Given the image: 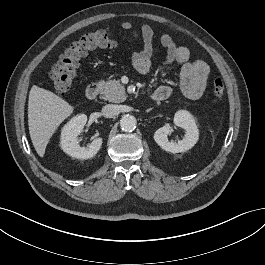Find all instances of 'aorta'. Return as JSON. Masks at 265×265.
Wrapping results in <instances>:
<instances>
[{"label": "aorta", "mask_w": 265, "mask_h": 265, "mask_svg": "<svg viewBox=\"0 0 265 265\" xmlns=\"http://www.w3.org/2000/svg\"><path fill=\"white\" fill-rule=\"evenodd\" d=\"M136 118L132 115H124L120 120V128L124 132H131L136 128Z\"/></svg>", "instance_id": "762f6f07"}]
</instances>
